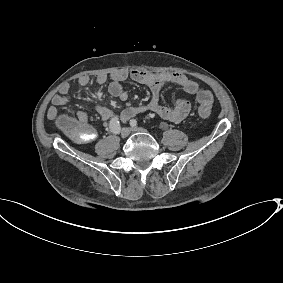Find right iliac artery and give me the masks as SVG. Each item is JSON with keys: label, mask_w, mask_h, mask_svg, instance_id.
<instances>
[{"label": "right iliac artery", "mask_w": 283, "mask_h": 283, "mask_svg": "<svg viewBox=\"0 0 283 283\" xmlns=\"http://www.w3.org/2000/svg\"><path fill=\"white\" fill-rule=\"evenodd\" d=\"M109 128L114 134H118L120 132V122L118 116H115L110 120Z\"/></svg>", "instance_id": "obj_1"}]
</instances>
